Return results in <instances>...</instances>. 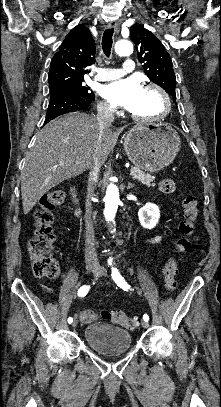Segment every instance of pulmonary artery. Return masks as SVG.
Here are the masks:
<instances>
[{"label": "pulmonary artery", "instance_id": "obj_1", "mask_svg": "<svg viewBox=\"0 0 221 407\" xmlns=\"http://www.w3.org/2000/svg\"><path fill=\"white\" fill-rule=\"evenodd\" d=\"M135 69L133 58L130 56L123 58L122 68H109L105 67L100 69L95 76L96 81H110L121 77L124 74L131 73Z\"/></svg>", "mask_w": 221, "mask_h": 407}]
</instances>
